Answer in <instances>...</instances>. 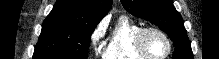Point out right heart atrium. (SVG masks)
<instances>
[{
  "mask_svg": "<svg viewBox=\"0 0 219 59\" xmlns=\"http://www.w3.org/2000/svg\"><path fill=\"white\" fill-rule=\"evenodd\" d=\"M104 26L102 24L98 25L92 32L90 41L93 47H97L104 36Z\"/></svg>",
  "mask_w": 219,
  "mask_h": 59,
  "instance_id": "obj_1",
  "label": "right heart atrium"
}]
</instances>
